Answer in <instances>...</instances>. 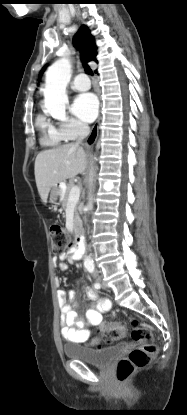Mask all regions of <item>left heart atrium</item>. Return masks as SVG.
Masks as SVG:
<instances>
[{"instance_id":"39dd6f15","label":"left heart atrium","mask_w":187,"mask_h":415,"mask_svg":"<svg viewBox=\"0 0 187 415\" xmlns=\"http://www.w3.org/2000/svg\"><path fill=\"white\" fill-rule=\"evenodd\" d=\"M99 103L93 93L77 96L72 105V112L84 122H92L98 114Z\"/></svg>"}]
</instances>
